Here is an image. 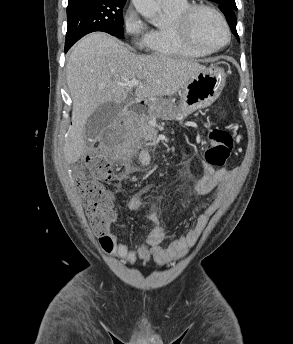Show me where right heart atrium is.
<instances>
[{"label":"right heart atrium","instance_id":"right-heart-atrium-1","mask_svg":"<svg viewBox=\"0 0 293 344\" xmlns=\"http://www.w3.org/2000/svg\"><path fill=\"white\" fill-rule=\"evenodd\" d=\"M123 30L133 44L142 49L145 47L149 29L133 7H128L122 17Z\"/></svg>","mask_w":293,"mask_h":344}]
</instances>
